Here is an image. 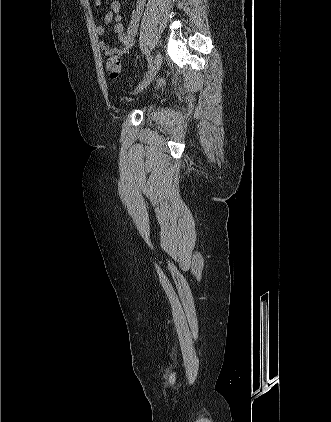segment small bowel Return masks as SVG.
Returning a JSON list of instances; mask_svg holds the SVG:
<instances>
[{
	"instance_id": "small-bowel-1",
	"label": "small bowel",
	"mask_w": 331,
	"mask_h": 422,
	"mask_svg": "<svg viewBox=\"0 0 331 422\" xmlns=\"http://www.w3.org/2000/svg\"><path fill=\"white\" fill-rule=\"evenodd\" d=\"M95 6H101L102 0H93ZM146 0H137L136 6L131 14L130 23L127 27H125L122 23V17L120 15L121 12V2L119 0H113L110 4V8L107 11L104 19L105 25L110 24L111 22H115V32L118 36V40L120 42V46L113 47L106 41L100 42V48L105 56L108 59L112 57H122L129 53L130 49L133 47L137 30H138V23L141 18L143 9L145 7ZM95 33L98 36H103L105 33V26L101 24H97L95 26Z\"/></svg>"
}]
</instances>
